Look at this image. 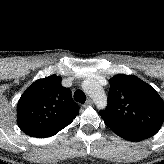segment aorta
Here are the masks:
<instances>
[{
  "label": "aorta",
  "mask_w": 164,
  "mask_h": 164,
  "mask_svg": "<svg viewBox=\"0 0 164 164\" xmlns=\"http://www.w3.org/2000/svg\"><path fill=\"white\" fill-rule=\"evenodd\" d=\"M82 88L94 100L97 108L104 109L107 106V96L96 81H84Z\"/></svg>",
  "instance_id": "aorta-1"
}]
</instances>
